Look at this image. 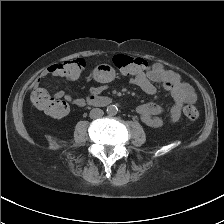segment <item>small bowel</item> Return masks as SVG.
Returning a JSON list of instances; mask_svg holds the SVG:
<instances>
[{"label": "small bowel", "mask_w": 224, "mask_h": 224, "mask_svg": "<svg viewBox=\"0 0 224 224\" xmlns=\"http://www.w3.org/2000/svg\"><path fill=\"white\" fill-rule=\"evenodd\" d=\"M57 65L58 63H54L40 73L32 83L35 90L41 89V82L48 75L61 76L57 69ZM92 76L94 80L99 82V85L92 86L85 98H74L68 95L63 89L57 90L55 92V97L65 99L76 106H84L91 98L97 97L103 91L108 89L109 84L114 80L115 73L110 66L102 64L93 70ZM130 83L136 85L149 95H155L157 93L155 83H161L164 89L171 95L173 105L169 110L168 119H164L160 116L164 111V108L161 105L147 103L136 108V112L142 122L152 128L162 127L167 122H177L181 117L183 104L192 103L196 100V94L193 88L183 81L178 73L166 68L160 63L152 64L150 69L146 72L131 76Z\"/></svg>", "instance_id": "obj_1"}]
</instances>
